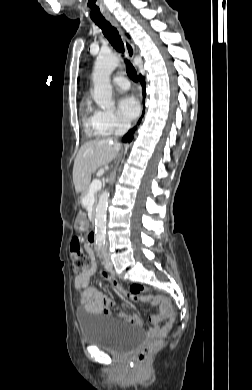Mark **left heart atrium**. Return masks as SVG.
I'll return each mask as SVG.
<instances>
[{"mask_svg":"<svg viewBox=\"0 0 252 390\" xmlns=\"http://www.w3.org/2000/svg\"><path fill=\"white\" fill-rule=\"evenodd\" d=\"M118 111L123 119L131 121L138 116L140 104L135 97L126 95L119 100Z\"/></svg>","mask_w":252,"mask_h":390,"instance_id":"1","label":"left heart atrium"}]
</instances>
